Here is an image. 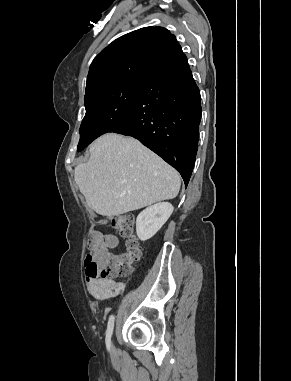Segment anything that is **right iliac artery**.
<instances>
[{"label":"right iliac artery","instance_id":"82829eb1","mask_svg":"<svg viewBox=\"0 0 291 381\" xmlns=\"http://www.w3.org/2000/svg\"><path fill=\"white\" fill-rule=\"evenodd\" d=\"M114 315H111L108 320V326H107V335H106V344L107 347L110 348V338L112 336L113 328H114Z\"/></svg>","mask_w":291,"mask_h":381}]
</instances>
